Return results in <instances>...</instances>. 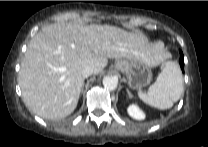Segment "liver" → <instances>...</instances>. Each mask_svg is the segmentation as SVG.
Masks as SVG:
<instances>
[{
  "instance_id": "6515ba94",
  "label": "liver",
  "mask_w": 208,
  "mask_h": 147,
  "mask_svg": "<svg viewBox=\"0 0 208 147\" xmlns=\"http://www.w3.org/2000/svg\"><path fill=\"white\" fill-rule=\"evenodd\" d=\"M169 56L143 35L115 26L51 24L30 41L18 83L31 111L43 118L60 119L78 104L85 66H92L98 75L108 58L134 59L155 67Z\"/></svg>"
}]
</instances>
